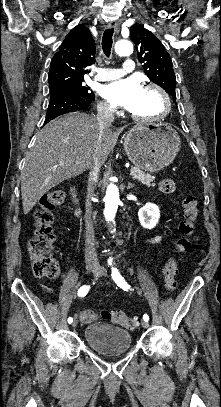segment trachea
I'll return each instance as SVG.
<instances>
[{"label": "trachea", "instance_id": "obj_1", "mask_svg": "<svg viewBox=\"0 0 221 407\" xmlns=\"http://www.w3.org/2000/svg\"><path fill=\"white\" fill-rule=\"evenodd\" d=\"M113 29H107L105 30L103 37H102V49L104 54L109 57L111 53V47L113 43Z\"/></svg>", "mask_w": 221, "mask_h": 407}]
</instances>
